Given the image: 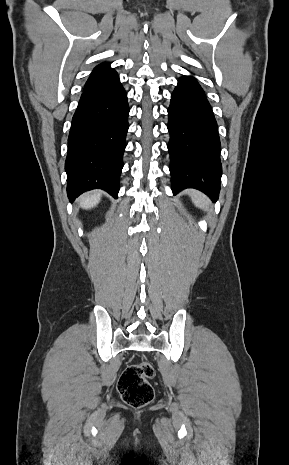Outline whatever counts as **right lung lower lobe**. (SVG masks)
Returning <instances> with one entry per match:
<instances>
[{
  "mask_svg": "<svg viewBox=\"0 0 289 465\" xmlns=\"http://www.w3.org/2000/svg\"><path fill=\"white\" fill-rule=\"evenodd\" d=\"M128 114L127 94L119 78L84 89L72 119L65 162L71 202L96 188L117 198Z\"/></svg>",
  "mask_w": 289,
  "mask_h": 465,
  "instance_id": "right-lung-lower-lobe-1",
  "label": "right lung lower lobe"
}]
</instances>
